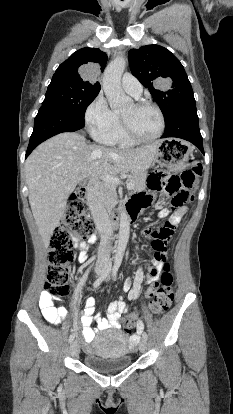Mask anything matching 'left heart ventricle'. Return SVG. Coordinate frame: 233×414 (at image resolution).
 <instances>
[{
    "label": "left heart ventricle",
    "mask_w": 233,
    "mask_h": 414,
    "mask_svg": "<svg viewBox=\"0 0 233 414\" xmlns=\"http://www.w3.org/2000/svg\"><path fill=\"white\" fill-rule=\"evenodd\" d=\"M137 134L144 138L155 136L161 127V120L157 111L153 108H136L131 104L121 112Z\"/></svg>",
    "instance_id": "b2bd125f"
}]
</instances>
